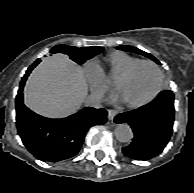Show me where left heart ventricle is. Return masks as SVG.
Listing matches in <instances>:
<instances>
[{
    "label": "left heart ventricle",
    "mask_w": 194,
    "mask_h": 193,
    "mask_svg": "<svg viewBox=\"0 0 194 193\" xmlns=\"http://www.w3.org/2000/svg\"><path fill=\"white\" fill-rule=\"evenodd\" d=\"M158 81L156 69L151 65H142L121 85L118 95L127 102L143 101L155 91Z\"/></svg>",
    "instance_id": "obj_1"
}]
</instances>
